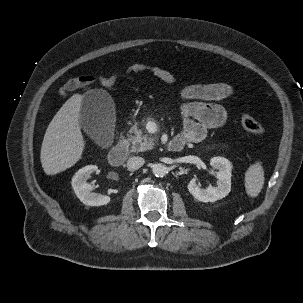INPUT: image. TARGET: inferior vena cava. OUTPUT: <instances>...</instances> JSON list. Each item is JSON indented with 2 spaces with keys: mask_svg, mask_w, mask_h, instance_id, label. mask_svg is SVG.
I'll list each match as a JSON object with an SVG mask.
<instances>
[{
  "mask_svg": "<svg viewBox=\"0 0 303 303\" xmlns=\"http://www.w3.org/2000/svg\"><path fill=\"white\" fill-rule=\"evenodd\" d=\"M144 163H145L144 158L134 156V157H131L128 159L127 168L130 171H135V170L139 169L141 166H143Z\"/></svg>",
  "mask_w": 303,
  "mask_h": 303,
  "instance_id": "inferior-vena-cava-1",
  "label": "inferior vena cava"
}]
</instances>
